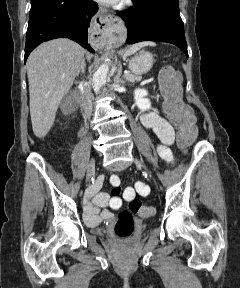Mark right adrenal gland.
I'll return each instance as SVG.
<instances>
[{
    "label": "right adrenal gland",
    "mask_w": 240,
    "mask_h": 288,
    "mask_svg": "<svg viewBox=\"0 0 240 288\" xmlns=\"http://www.w3.org/2000/svg\"><path fill=\"white\" fill-rule=\"evenodd\" d=\"M85 67H86V63H85V61H83L82 66H81V68L78 71L76 76H79L80 73H84L85 72Z\"/></svg>",
    "instance_id": "2a0ac1e0"
}]
</instances>
